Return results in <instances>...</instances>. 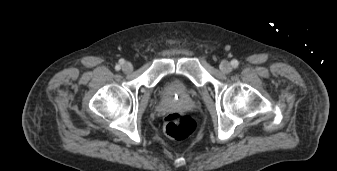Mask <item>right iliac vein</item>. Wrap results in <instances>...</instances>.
<instances>
[{
	"mask_svg": "<svg viewBox=\"0 0 337 171\" xmlns=\"http://www.w3.org/2000/svg\"><path fill=\"white\" fill-rule=\"evenodd\" d=\"M133 69V66L130 62H125L123 65H122V70L125 72V73H129L131 72Z\"/></svg>",
	"mask_w": 337,
	"mask_h": 171,
	"instance_id": "63e3f726",
	"label": "right iliac vein"
}]
</instances>
